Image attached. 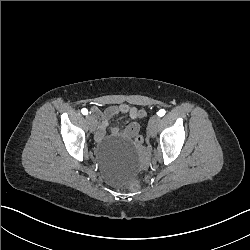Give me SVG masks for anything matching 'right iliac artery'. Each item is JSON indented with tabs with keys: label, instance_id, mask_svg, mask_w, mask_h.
<instances>
[{
	"label": "right iliac artery",
	"instance_id": "obj_1",
	"mask_svg": "<svg viewBox=\"0 0 250 250\" xmlns=\"http://www.w3.org/2000/svg\"><path fill=\"white\" fill-rule=\"evenodd\" d=\"M81 112H82L83 115H87L88 114V110L86 108H83L81 110Z\"/></svg>",
	"mask_w": 250,
	"mask_h": 250
}]
</instances>
